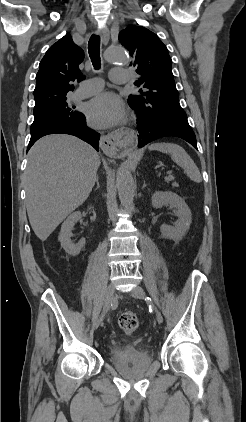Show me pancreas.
<instances>
[{
	"label": "pancreas",
	"instance_id": "pancreas-1",
	"mask_svg": "<svg viewBox=\"0 0 246 422\" xmlns=\"http://www.w3.org/2000/svg\"><path fill=\"white\" fill-rule=\"evenodd\" d=\"M165 180H166L167 182H169V181L173 180V177H172V176H168V177H166V178H165Z\"/></svg>",
	"mask_w": 246,
	"mask_h": 422
}]
</instances>
